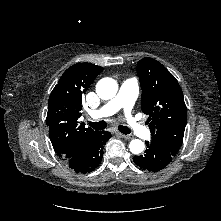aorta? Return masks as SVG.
<instances>
[{
	"label": "aorta",
	"instance_id": "obj_1",
	"mask_svg": "<svg viewBox=\"0 0 221 221\" xmlns=\"http://www.w3.org/2000/svg\"><path fill=\"white\" fill-rule=\"evenodd\" d=\"M118 91L117 82L109 77L102 78L96 85L97 95L104 100L112 99ZM144 142L139 139H134L129 144V149L133 154H139L144 151Z\"/></svg>",
	"mask_w": 221,
	"mask_h": 221
}]
</instances>
